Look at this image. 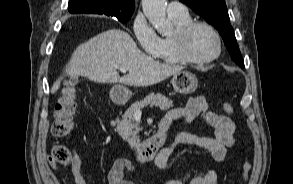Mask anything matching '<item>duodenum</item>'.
Masks as SVG:
<instances>
[{"label":"duodenum","mask_w":293,"mask_h":184,"mask_svg":"<svg viewBox=\"0 0 293 184\" xmlns=\"http://www.w3.org/2000/svg\"><path fill=\"white\" fill-rule=\"evenodd\" d=\"M116 100L119 103L123 102V98L121 97H116ZM169 126L170 124L168 122L161 121L159 130L156 134L143 142L131 144V149L134 151L137 160L147 161L154 159L162 151Z\"/></svg>","instance_id":"1"}]
</instances>
